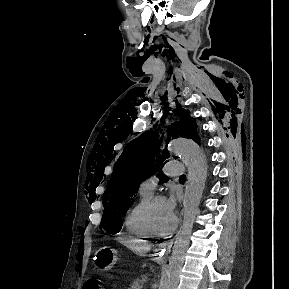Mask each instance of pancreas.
<instances>
[{
  "label": "pancreas",
  "mask_w": 289,
  "mask_h": 289,
  "mask_svg": "<svg viewBox=\"0 0 289 289\" xmlns=\"http://www.w3.org/2000/svg\"><path fill=\"white\" fill-rule=\"evenodd\" d=\"M143 280L136 279L131 285L129 289H142Z\"/></svg>",
  "instance_id": "pancreas-1"
}]
</instances>
